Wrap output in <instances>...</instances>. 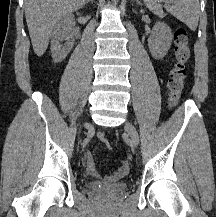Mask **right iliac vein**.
<instances>
[{
	"instance_id": "right-iliac-vein-1",
	"label": "right iliac vein",
	"mask_w": 216,
	"mask_h": 217,
	"mask_svg": "<svg viewBox=\"0 0 216 217\" xmlns=\"http://www.w3.org/2000/svg\"><path fill=\"white\" fill-rule=\"evenodd\" d=\"M91 128H92V127L89 125V126H88V129H91Z\"/></svg>"
}]
</instances>
